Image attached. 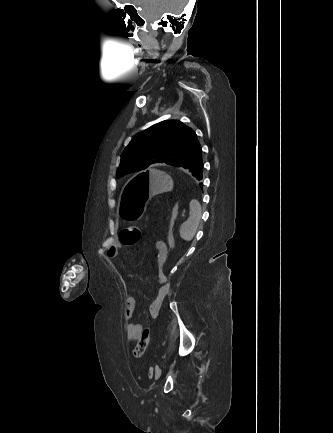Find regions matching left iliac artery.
Here are the masks:
<instances>
[{"instance_id": "1", "label": "left iliac artery", "mask_w": 333, "mask_h": 433, "mask_svg": "<svg viewBox=\"0 0 333 433\" xmlns=\"http://www.w3.org/2000/svg\"><path fill=\"white\" fill-rule=\"evenodd\" d=\"M157 369H158V365L155 366V370H157ZM150 370H152V368H150Z\"/></svg>"}]
</instances>
